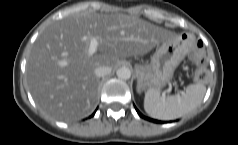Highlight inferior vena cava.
Here are the masks:
<instances>
[{
	"mask_svg": "<svg viewBox=\"0 0 238 145\" xmlns=\"http://www.w3.org/2000/svg\"><path fill=\"white\" fill-rule=\"evenodd\" d=\"M111 71H112V69L109 66H99L94 70L95 75L97 77H104V76L110 74Z\"/></svg>",
	"mask_w": 238,
	"mask_h": 145,
	"instance_id": "602c4592",
	"label": "inferior vena cava"
}]
</instances>
